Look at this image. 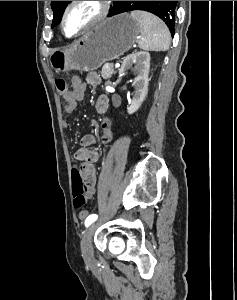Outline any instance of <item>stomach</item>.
Here are the masks:
<instances>
[{
  "label": "stomach",
  "mask_w": 237,
  "mask_h": 300,
  "mask_svg": "<svg viewBox=\"0 0 237 300\" xmlns=\"http://www.w3.org/2000/svg\"><path fill=\"white\" fill-rule=\"evenodd\" d=\"M140 35V25L131 15L105 19L69 49H55L49 57L55 71H96L105 61H113L129 51Z\"/></svg>",
  "instance_id": "obj_1"
}]
</instances>
